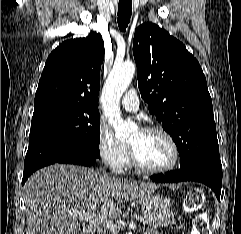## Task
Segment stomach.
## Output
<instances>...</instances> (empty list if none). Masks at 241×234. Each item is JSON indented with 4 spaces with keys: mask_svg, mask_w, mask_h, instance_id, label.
I'll return each mask as SVG.
<instances>
[{
    "mask_svg": "<svg viewBox=\"0 0 241 234\" xmlns=\"http://www.w3.org/2000/svg\"><path fill=\"white\" fill-rule=\"evenodd\" d=\"M146 221L153 227L165 226L174 217V207L167 197L150 194L139 198Z\"/></svg>",
    "mask_w": 241,
    "mask_h": 234,
    "instance_id": "1",
    "label": "stomach"
}]
</instances>
